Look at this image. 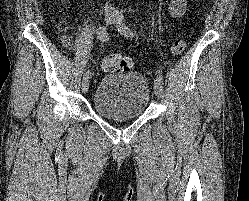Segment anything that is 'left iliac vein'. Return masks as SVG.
Listing matches in <instances>:
<instances>
[{"label": "left iliac vein", "mask_w": 249, "mask_h": 201, "mask_svg": "<svg viewBox=\"0 0 249 201\" xmlns=\"http://www.w3.org/2000/svg\"><path fill=\"white\" fill-rule=\"evenodd\" d=\"M114 23L116 24V27L118 29H120L122 26H124V18L123 16L118 13L115 12V19H114ZM163 92V86H162V82L158 79H156L154 81V93L157 97H161Z\"/></svg>", "instance_id": "4c4485c4"}]
</instances>
